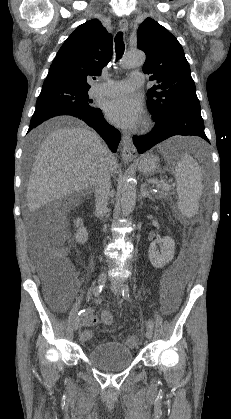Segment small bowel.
Returning <instances> with one entry per match:
<instances>
[{
    "label": "small bowel",
    "instance_id": "1",
    "mask_svg": "<svg viewBox=\"0 0 231 419\" xmlns=\"http://www.w3.org/2000/svg\"><path fill=\"white\" fill-rule=\"evenodd\" d=\"M180 300V292L177 281L174 278L165 275L161 284V303L162 309L165 313H171L178 306ZM98 323V318L91 310L86 312L83 320L84 329L81 331V338L83 341L88 342L93 337V332L90 327Z\"/></svg>",
    "mask_w": 231,
    "mask_h": 419
}]
</instances>
